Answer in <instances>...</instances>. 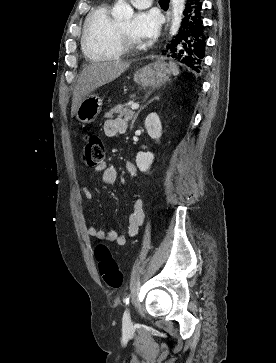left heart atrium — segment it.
<instances>
[{
    "label": "left heart atrium",
    "instance_id": "obj_1",
    "mask_svg": "<svg viewBox=\"0 0 276 363\" xmlns=\"http://www.w3.org/2000/svg\"><path fill=\"white\" fill-rule=\"evenodd\" d=\"M160 16L156 11H139L131 23V34L138 41H151L158 35Z\"/></svg>",
    "mask_w": 276,
    "mask_h": 363
}]
</instances>
